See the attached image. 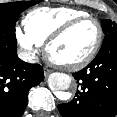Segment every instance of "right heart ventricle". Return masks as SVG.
<instances>
[{
  "label": "right heart ventricle",
  "mask_w": 117,
  "mask_h": 117,
  "mask_svg": "<svg viewBox=\"0 0 117 117\" xmlns=\"http://www.w3.org/2000/svg\"><path fill=\"white\" fill-rule=\"evenodd\" d=\"M82 16H88V13L72 7H40L24 18L25 33L41 45L65 23Z\"/></svg>",
  "instance_id": "right-heart-ventricle-1"
}]
</instances>
